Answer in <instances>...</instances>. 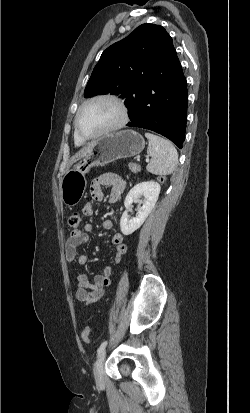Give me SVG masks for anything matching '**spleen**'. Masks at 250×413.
Returning <instances> with one entry per match:
<instances>
[{
    "mask_svg": "<svg viewBox=\"0 0 250 413\" xmlns=\"http://www.w3.org/2000/svg\"><path fill=\"white\" fill-rule=\"evenodd\" d=\"M145 137L149 140L147 154L151 157L146 169L156 175L171 174L178 163V153L173 144L148 132L145 133Z\"/></svg>",
    "mask_w": 250,
    "mask_h": 413,
    "instance_id": "spleen-1",
    "label": "spleen"
}]
</instances>
